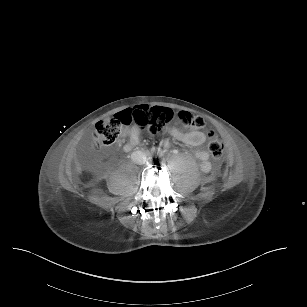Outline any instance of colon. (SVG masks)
Masks as SVG:
<instances>
[{"instance_id":"5ec220e1","label":"colon","mask_w":307,"mask_h":307,"mask_svg":"<svg viewBox=\"0 0 307 307\" xmlns=\"http://www.w3.org/2000/svg\"><path fill=\"white\" fill-rule=\"evenodd\" d=\"M175 117L185 127L201 129L205 126V121L201 117L195 116L189 111L180 110L175 113L166 107L139 106L107 119H100L95 125L93 147L100 150L104 146L112 145L121 134L122 127L132 123L144 131L159 134L165 125L172 122ZM207 141L213 159H222L224 147L220 136L214 130H209Z\"/></svg>"}]
</instances>
